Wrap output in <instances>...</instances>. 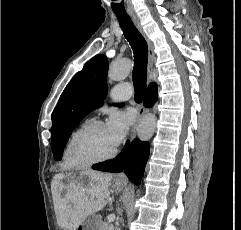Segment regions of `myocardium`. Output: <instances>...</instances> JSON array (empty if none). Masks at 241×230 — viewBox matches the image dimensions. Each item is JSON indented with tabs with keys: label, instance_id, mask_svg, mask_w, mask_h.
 I'll return each mask as SVG.
<instances>
[{
	"label": "myocardium",
	"instance_id": "myocardium-1",
	"mask_svg": "<svg viewBox=\"0 0 241 230\" xmlns=\"http://www.w3.org/2000/svg\"><path fill=\"white\" fill-rule=\"evenodd\" d=\"M102 126H105L103 121H100V120L90 121V122L86 123L85 125H83L72 138L70 145H69L68 154H69L70 161L76 168H84V167H89V166H93L96 164L104 163V162L112 160L113 158H115L117 156L118 149L115 148L111 153H109L106 156L100 157V158L91 159V160H87V161H81L78 159L76 150H77V147H78L80 141L89 132H91L92 130H94L98 127H102Z\"/></svg>",
	"mask_w": 241,
	"mask_h": 230
}]
</instances>
